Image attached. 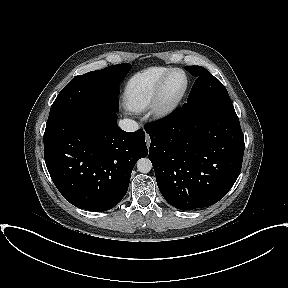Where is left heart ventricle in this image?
<instances>
[{"label":"left heart ventricle","mask_w":288,"mask_h":288,"mask_svg":"<svg viewBox=\"0 0 288 288\" xmlns=\"http://www.w3.org/2000/svg\"><path fill=\"white\" fill-rule=\"evenodd\" d=\"M184 76L180 72L173 73L166 85L165 96L167 99H173L176 97L184 86Z\"/></svg>","instance_id":"b2bd125f"}]
</instances>
